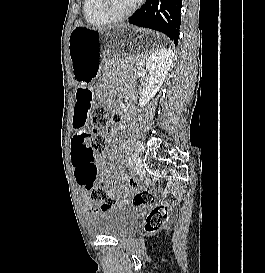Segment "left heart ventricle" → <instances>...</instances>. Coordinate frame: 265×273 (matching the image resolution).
Segmentation results:
<instances>
[{
    "label": "left heart ventricle",
    "mask_w": 265,
    "mask_h": 273,
    "mask_svg": "<svg viewBox=\"0 0 265 273\" xmlns=\"http://www.w3.org/2000/svg\"><path fill=\"white\" fill-rule=\"evenodd\" d=\"M135 0H109L108 9L113 14H120L127 11Z\"/></svg>",
    "instance_id": "obj_1"
}]
</instances>
